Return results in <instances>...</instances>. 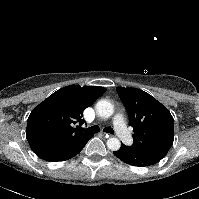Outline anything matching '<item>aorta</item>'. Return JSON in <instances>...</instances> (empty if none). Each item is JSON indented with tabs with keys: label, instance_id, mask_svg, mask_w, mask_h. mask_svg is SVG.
Listing matches in <instances>:
<instances>
[{
	"label": "aorta",
	"instance_id": "aorta-1",
	"mask_svg": "<svg viewBox=\"0 0 199 199\" xmlns=\"http://www.w3.org/2000/svg\"><path fill=\"white\" fill-rule=\"evenodd\" d=\"M95 109L98 116L102 118H109L112 116L114 112V106L112 105V103H110L107 100H100L99 102H97ZM120 146H121V142L117 138L113 137L107 140V147L111 151L119 150Z\"/></svg>",
	"mask_w": 199,
	"mask_h": 199
}]
</instances>
